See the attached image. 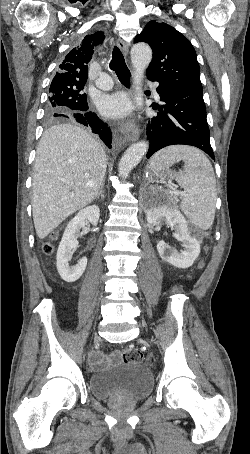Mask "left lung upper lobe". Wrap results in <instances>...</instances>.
<instances>
[{
    "label": "left lung upper lobe",
    "instance_id": "obj_1",
    "mask_svg": "<svg viewBox=\"0 0 250 454\" xmlns=\"http://www.w3.org/2000/svg\"><path fill=\"white\" fill-rule=\"evenodd\" d=\"M134 42H146L153 50L146 70L149 79L170 88L202 90L196 52L191 42L172 26L152 20Z\"/></svg>",
    "mask_w": 250,
    "mask_h": 454
}]
</instances>
